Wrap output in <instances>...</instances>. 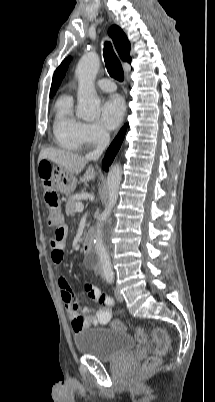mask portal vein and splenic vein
Here are the masks:
<instances>
[{"instance_id": "portal-vein-and-splenic-vein-1", "label": "portal vein and splenic vein", "mask_w": 215, "mask_h": 402, "mask_svg": "<svg viewBox=\"0 0 215 402\" xmlns=\"http://www.w3.org/2000/svg\"><path fill=\"white\" fill-rule=\"evenodd\" d=\"M75 209H76L77 212H82V211L84 210V205H83V203H82V202L76 203Z\"/></svg>"}]
</instances>
